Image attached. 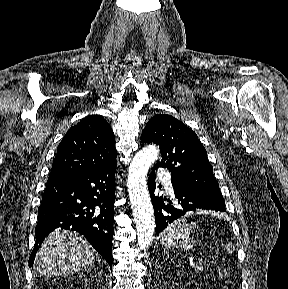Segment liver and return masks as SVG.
<instances>
[{
    "label": "liver",
    "mask_w": 288,
    "mask_h": 289,
    "mask_svg": "<svg viewBox=\"0 0 288 289\" xmlns=\"http://www.w3.org/2000/svg\"><path fill=\"white\" fill-rule=\"evenodd\" d=\"M98 253L77 232L55 230L44 240L35 257L34 269L43 276H59L86 270Z\"/></svg>",
    "instance_id": "obj_1"
}]
</instances>
